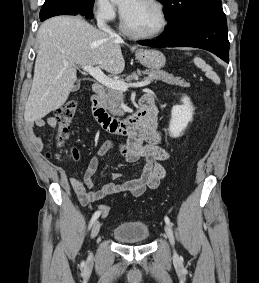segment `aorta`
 Here are the masks:
<instances>
[{
    "instance_id": "aorta-1",
    "label": "aorta",
    "mask_w": 259,
    "mask_h": 283,
    "mask_svg": "<svg viewBox=\"0 0 259 283\" xmlns=\"http://www.w3.org/2000/svg\"><path fill=\"white\" fill-rule=\"evenodd\" d=\"M112 2H118V1H120V0H111Z\"/></svg>"
}]
</instances>
